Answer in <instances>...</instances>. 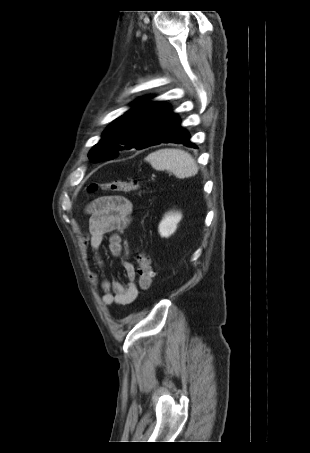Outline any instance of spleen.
I'll return each mask as SVG.
<instances>
[{"label":"spleen","instance_id":"obj_1","mask_svg":"<svg viewBox=\"0 0 310 453\" xmlns=\"http://www.w3.org/2000/svg\"><path fill=\"white\" fill-rule=\"evenodd\" d=\"M145 160L155 170L172 172L177 178H188L198 172L195 159L188 152L175 148L160 149L149 154Z\"/></svg>","mask_w":310,"mask_h":453}]
</instances>
